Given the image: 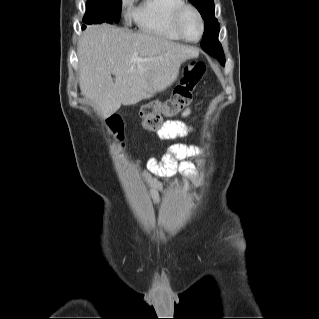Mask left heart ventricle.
Masks as SVG:
<instances>
[{
	"label": "left heart ventricle",
	"instance_id": "obj_1",
	"mask_svg": "<svg viewBox=\"0 0 319 319\" xmlns=\"http://www.w3.org/2000/svg\"><path fill=\"white\" fill-rule=\"evenodd\" d=\"M181 29L184 32V34L190 38L195 39L200 34V25L197 17L195 14L191 11H187L180 22Z\"/></svg>",
	"mask_w": 319,
	"mask_h": 319
}]
</instances>
